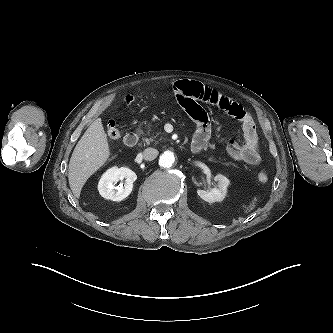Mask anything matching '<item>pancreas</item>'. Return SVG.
Listing matches in <instances>:
<instances>
[{
    "label": "pancreas",
    "mask_w": 333,
    "mask_h": 333,
    "mask_svg": "<svg viewBox=\"0 0 333 333\" xmlns=\"http://www.w3.org/2000/svg\"><path fill=\"white\" fill-rule=\"evenodd\" d=\"M151 130H148V134L151 135V137L149 138H142V140L149 145L151 142L155 141L156 137L159 135L158 133L156 135H154L153 133L150 132ZM137 132L140 134H144L143 130H141L140 128L137 129Z\"/></svg>",
    "instance_id": "pancreas-1"
}]
</instances>
